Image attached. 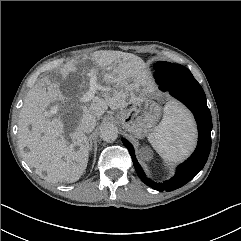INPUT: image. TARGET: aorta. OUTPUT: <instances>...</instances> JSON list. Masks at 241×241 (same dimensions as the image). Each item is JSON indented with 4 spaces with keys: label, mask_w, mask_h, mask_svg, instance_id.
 I'll return each mask as SVG.
<instances>
[{
    "label": "aorta",
    "mask_w": 241,
    "mask_h": 241,
    "mask_svg": "<svg viewBox=\"0 0 241 241\" xmlns=\"http://www.w3.org/2000/svg\"><path fill=\"white\" fill-rule=\"evenodd\" d=\"M100 137L105 142H113L118 137V127L113 123H104L100 129Z\"/></svg>",
    "instance_id": "aorta-1"
}]
</instances>
